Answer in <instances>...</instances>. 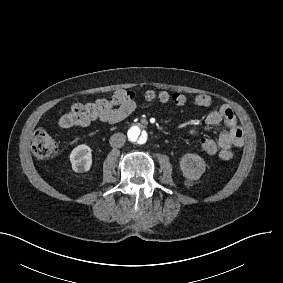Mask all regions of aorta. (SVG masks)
Returning <instances> with one entry per match:
<instances>
[{
	"label": "aorta",
	"instance_id": "1",
	"mask_svg": "<svg viewBox=\"0 0 283 283\" xmlns=\"http://www.w3.org/2000/svg\"><path fill=\"white\" fill-rule=\"evenodd\" d=\"M127 136L130 142L138 145H144L148 140V133L137 125L129 128Z\"/></svg>",
	"mask_w": 283,
	"mask_h": 283
}]
</instances>
